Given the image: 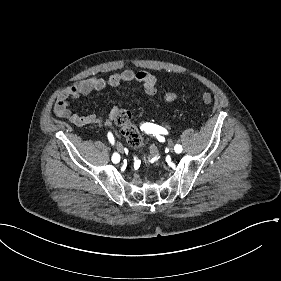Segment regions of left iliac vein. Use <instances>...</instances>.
Masks as SVG:
<instances>
[{"label": "left iliac vein", "mask_w": 281, "mask_h": 281, "mask_svg": "<svg viewBox=\"0 0 281 281\" xmlns=\"http://www.w3.org/2000/svg\"><path fill=\"white\" fill-rule=\"evenodd\" d=\"M174 147V143L172 141L168 142V148L172 151Z\"/></svg>", "instance_id": "1"}]
</instances>
